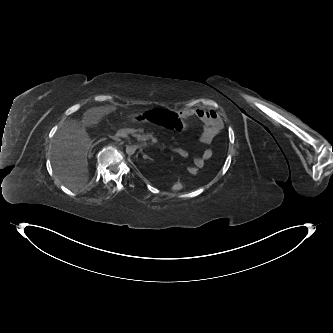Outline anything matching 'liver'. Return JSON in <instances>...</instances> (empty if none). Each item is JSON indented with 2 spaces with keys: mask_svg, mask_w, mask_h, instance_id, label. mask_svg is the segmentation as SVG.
I'll use <instances>...</instances> for the list:
<instances>
[{
  "mask_svg": "<svg viewBox=\"0 0 333 333\" xmlns=\"http://www.w3.org/2000/svg\"><path fill=\"white\" fill-rule=\"evenodd\" d=\"M116 110V104L91 107L83 113L81 121L70 120L55 134L51 147L52 167L56 177L68 188H82L89 179L87 155L92 140L86 128L97 126ZM135 116L129 115L130 118Z\"/></svg>",
  "mask_w": 333,
  "mask_h": 333,
  "instance_id": "1",
  "label": "liver"
}]
</instances>
